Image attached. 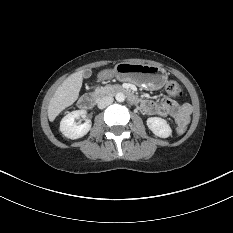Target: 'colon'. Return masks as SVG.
Returning a JSON list of instances; mask_svg holds the SVG:
<instances>
[{
	"mask_svg": "<svg viewBox=\"0 0 233 233\" xmlns=\"http://www.w3.org/2000/svg\"><path fill=\"white\" fill-rule=\"evenodd\" d=\"M166 91L168 95L172 98H179L183 93L182 86L177 81H174V80H170L167 83ZM185 130H186V127H177V132L179 134L184 133Z\"/></svg>",
	"mask_w": 233,
	"mask_h": 233,
	"instance_id": "obj_1",
	"label": "colon"
}]
</instances>
